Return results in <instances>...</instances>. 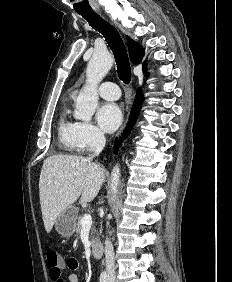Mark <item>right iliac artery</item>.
<instances>
[{
    "label": "right iliac artery",
    "instance_id": "82829eb1",
    "mask_svg": "<svg viewBox=\"0 0 232 282\" xmlns=\"http://www.w3.org/2000/svg\"><path fill=\"white\" fill-rule=\"evenodd\" d=\"M100 282H107V274L106 272H102L100 275Z\"/></svg>",
    "mask_w": 232,
    "mask_h": 282
}]
</instances>
